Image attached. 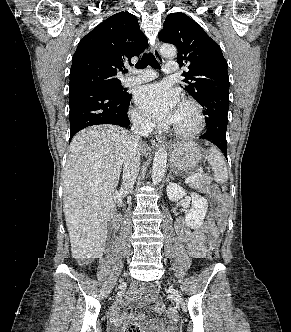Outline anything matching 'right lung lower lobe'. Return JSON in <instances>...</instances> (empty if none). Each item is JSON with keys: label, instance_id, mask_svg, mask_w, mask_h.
I'll use <instances>...</instances> for the list:
<instances>
[{"label": "right lung lower lobe", "instance_id": "1", "mask_svg": "<svg viewBox=\"0 0 291 332\" xmlns=\"http://www.w3.org/2000/svg\"><path fill=\"white\" fill-rule=\"evenodd\" d=\"M70 140L83 128L99 124L128 127L131 94L116 97L107 87L91 85L69 91Z\"/></svg>", "mask_w": 291, "mask_h": 332}]
</instances>
